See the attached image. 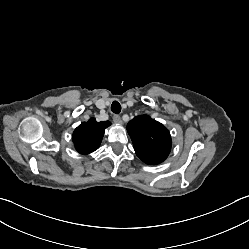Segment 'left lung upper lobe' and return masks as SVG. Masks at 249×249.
Here are the masks:
<instances>
[{"instance_id":"obj_1","label":"left lung upper lobe","mask_w":249,"mask_h":249,"mask_svg":"<svg viewBox=\"0 0 249 249\" xmlns=\"http://www.w3.org/2000/svg\"><path fill=\"white\" fill-rule=\"evenodd\" d=\"M137 156L148 165L163 162L171 150L168 129L148 115L136 116L127 125Z\"/></svg>"}]
</instances>
